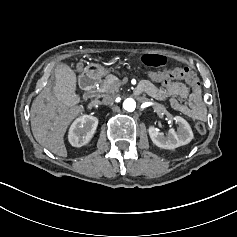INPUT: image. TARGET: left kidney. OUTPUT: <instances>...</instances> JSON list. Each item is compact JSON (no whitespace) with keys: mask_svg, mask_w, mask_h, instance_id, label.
I'll use <instances>...</instances> for the list:
<instances>
[{"mask_svg":"<svg viewBox=\"0 0 237 237\" xmlns=\"http://www.w3.org/2000/svg\"><path fill=\"white\" fill-rule=\"evenodd\" d=\"M178 129H170L165 136L163 132H159L154 126L149 127V135L152 142L163 149H175L177 147L188 144L194 137L189 123L182 117L176 116Z\"/></svg>","mask_w":237,"mask_h":237,"instance_id":"1","label":"left kidney"}]
</instances>
